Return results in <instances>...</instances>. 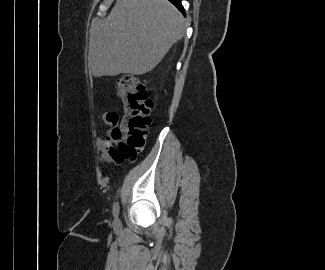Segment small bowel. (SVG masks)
<instances>
[{
	"label": "small bowel",
	"instance_id": "1",
	"mask_svg": "<svg viewBox=\"0 0 325 270\" xmlns=\"http://www.w3.org/2000/svg\"><path fill=\"white\" fill-rule=\"evenodd\" d=\"M103 122L109 127L107 137L105 139L97 137L96 142L102 153V160L104 162H113L115 164H122L126 158L121 156L113 146V140L111 138V131L115 124L114 120L118 119V115L115 112H107L102 117Z\"/></svg>",
	"mask_w": 325,
	"mask_h": 270
}]
</instances>
